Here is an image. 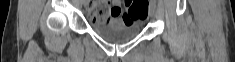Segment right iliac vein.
<instances>
[{"instance_id":"obj_1","label":"right iliac vein","mask_w":235,"mask_h":62,"mask_svg":"<svg viewBox=\"0 0 235 62\" xmlns=\"http://www.w3.org/2000/svg\"><path fill=\"white\" fill-rule=\"evenodd\" d=\"M84 6L88 7V1H84Z\"/></svg>"}]
</instances>
